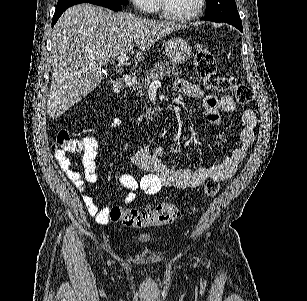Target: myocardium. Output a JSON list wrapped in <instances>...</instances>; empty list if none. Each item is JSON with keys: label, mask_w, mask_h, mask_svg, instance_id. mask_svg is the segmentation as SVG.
<instances>
[{"label": "myocardium", "mask_w": 307, "mask_h": 301, "mask_svg": "<svg viewBox=\"0 0 307 301\" xmlns=\"http://www.w3.org/2000/svg\"><path fill=\"white\" fill-rule=\"evenodd\" d=\"M204 0H197L195 11H167L165 0H158L156 17L163 18L164 22H190L191 18L199 17Z\"/></svg>", "instance_id": "myocardium-1"}]
</instances>
